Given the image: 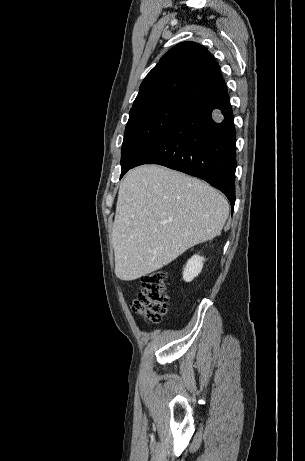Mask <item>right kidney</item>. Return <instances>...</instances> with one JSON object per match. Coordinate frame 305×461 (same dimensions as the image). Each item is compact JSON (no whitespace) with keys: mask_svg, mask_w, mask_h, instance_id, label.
<instances>
[{"mask_svg":"<svg viewBox=\"0 0 305 461\" xmlns=\"http://www.w3.org/2000/svg\"><path fill=\"white\" fill-rule=\"evenodd\" d=\"M204 257L193 255L186 263L183 271V279L185 282H191L199 275L203 268Z\"/></svg>","mask_w":305,"mask_h":461,"instance_id":"right-kidney-1","label":"right kidney"}]
</instances>
